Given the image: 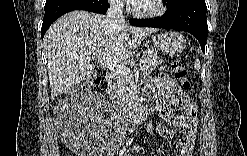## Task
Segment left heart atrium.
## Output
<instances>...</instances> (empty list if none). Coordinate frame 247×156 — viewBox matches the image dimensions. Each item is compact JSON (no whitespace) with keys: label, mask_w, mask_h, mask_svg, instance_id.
Returning a JSON list of instances; mask_svg holds the SVG:
<instances>
[{"label":"left heart atrium","mask_w":247,"mask_h":156,"mask_svg":"<svg viewBox=\"0 0 247 156\" xmlns=\"http://www.w3.org/2000/svg\"><path fill=\"white\" fill-rule=\"evenodd\" d=\"M138 2H139L138 0H131V1H129V3L130 4H133V5L137 4Z\"/></svg>","instance_id":"left-heart-atrium-1"}]
</instances>
